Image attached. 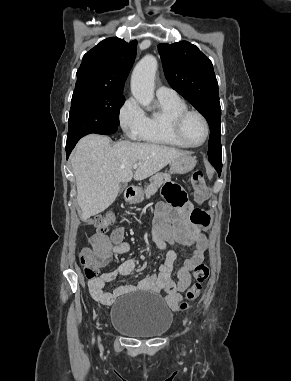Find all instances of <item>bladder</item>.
<instances>
[{"label":"bladder","instance_id":"1","mask_svg":"<svg viewBox=\"0 0 291 381\" xmlns=\"http://www.w3.org/2000/svg\"><path fill=\"white\" fill-rule=\"evenodd\" d=\"M172 323L173 312L157 295L127 294L111 307L113 329L133 338L163 336Z\"/></svg>","mask_w":291,"mask_h":381}]
</instances>
